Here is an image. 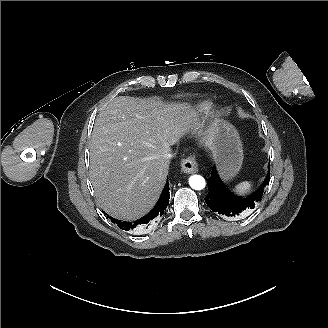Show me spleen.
Masks as SVG:
<instances>
[{
  "label": "spleen",
  "mask_w": 328,
  "mask_h": 328,
  "mask_svg": "<svg viewBox=\"0 0 328 328\" xmlns=\"http://www.w3.org/2000/svg\"><path fill=\"white\" fill-rule=\"evenodd\" d=\"M251 190V183L248 181L237 184L234 188V192L238 195H245Z\"/></svg>",
  "instance_id": "spleen-1"
}]
</instances>
